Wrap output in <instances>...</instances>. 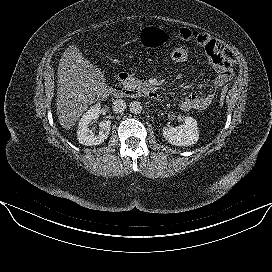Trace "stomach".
Listing matches in <instances>:
<instances>
[{"instance_id": "0dacf381", "label": "stomach", "mask_w": 272, "mask_h": 272, "mask_svg": "<svg viewBox=\"0 0 272 272\" xmlns=\"http://www.w3.org/2000/svg\"><path fill=\"white\" fill-rule=\"evenodd\" d=\"M138 39L142 46L154 48L166 39V33L161 26L146 25L140 29Z\"/></svg>"}]
</instances>
